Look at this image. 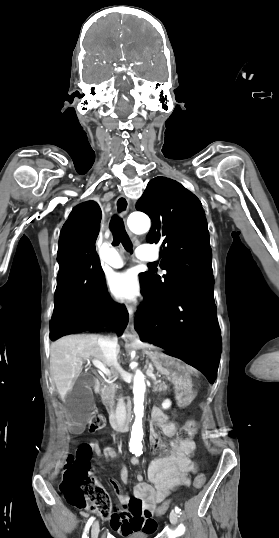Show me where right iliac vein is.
I'll list each match as a JSON object with an SVG mask.
<instances>
[{"label":"right iliac vein","mask_w":279,"mask_h":538,"mask_svg":"<svg viewBox=\"0 0 279 538\" xmlns=\"http://www.w3.org/2000/svg\"><path fill=\"white\" fill-rule=\"evenodd\" d=\"M99 522L95 521L91 527V538H98Z\"/></svg>","instance_id":"obj_1"}]
</instances>
